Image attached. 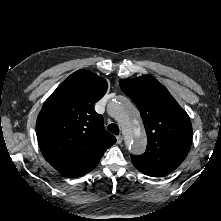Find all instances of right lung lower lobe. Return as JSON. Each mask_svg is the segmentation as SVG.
Returning a JSON list of instances; mask_svg holds the SVG:
<instances>
[{
    "mask_svg": "<svg viewBox=\"0 0 221 221\" xmlns=\"http://www.w3.org/2000/svg\"><path fill=\"white\" fill-rule=\"evenodd\" d=\"M105 151L95 152L90 155L57 165L54 167L61 174L78 177L83 176L93 170Z\"/></svg>",
    "mask_w": 221,
    "mask_h": 221,
    "instance_id": "98d812e1",
    "label": "right lung lower lobe"
}]
</instances>
